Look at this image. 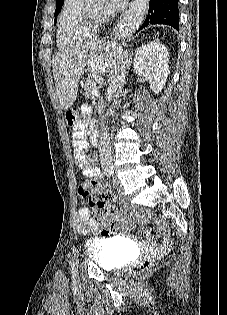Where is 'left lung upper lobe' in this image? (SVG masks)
I'll return each instance as SVG.
<instances>
[{"label": "left lung upper lobe", "mask_w": 227, "mask_h": 315, "mask_svg": "<svg viewBox=\"0 0 227 315\" xmlns=\"http://www.w3.org/2000/svg\"><path fill=\"white\" fill-rule=\"evenodd\" d=\"M62 5H63V0H57L56 1V11H55V16L58 15V13L60 12L61 8H62Z\"/></svg>", "instance_id": "left-lung-upper-lobe-1"}]
</instances>
